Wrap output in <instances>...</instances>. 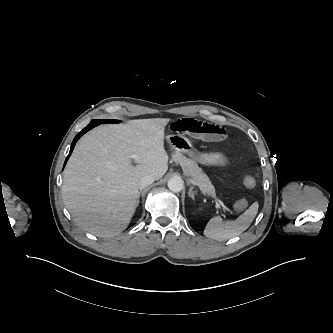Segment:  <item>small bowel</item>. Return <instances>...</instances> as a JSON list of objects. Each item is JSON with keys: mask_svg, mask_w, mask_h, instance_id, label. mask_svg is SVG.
I'll return each instance as SVG.
<instances>
[{"mask_svg": "<svg viewBox=\"0 0 333 333\" xmlns=\"http://www.w3.org/2000/svg\"><path fill=\"white\" fill-rule=\"evenodd\" d=\"M169 128L173 133L188 135L207 142L221 141L227 136L223 127L190 117L172 121Z\"/></svg>", "mask_w": 333, "mask_h": 333, "instance_id": "obj_1", "label": "small bowel"}]
</instances>
